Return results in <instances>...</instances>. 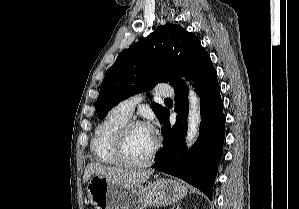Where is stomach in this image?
Instances as JSON below:
<instances>
[{
    "mask_svg": "<svg viewBox=\"0 0 299 209\" xmlns=\"http://www.w3.org/2000/svg\"><path fill=\"white\" fill-rule=\"evenodd\" d=\"M187 188L171 179H158L148 185H122L94 175L87 185L89 201L95 209H146L181 200Z\"/></svg>",
    "mask_w": 299,
    "mask_h": 209,
    "instance_id": "1",
    "label": "stomach"
}]
</instances>
